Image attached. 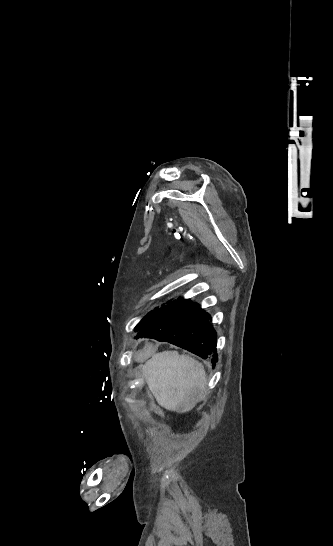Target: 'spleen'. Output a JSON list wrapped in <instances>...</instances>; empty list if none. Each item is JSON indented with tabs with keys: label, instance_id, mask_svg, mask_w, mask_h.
<instances>
[{
	"label": "spleen",
	"instance_id": "1",
	"mask_svg": "<svg viewBox=\"0 0 333 546\" xmlns=\"http://www.w3.org/2000/svg\"><path fill=\"white\" fill-rule=\"evenodd\" d=\"M143 376L157 402L180 413L195 407L207 383L203 365L176 351L154 354L144 364Z\"/></svg>",
	"mask_w": 333,
	"mask_h": 546
}]
</instances>
